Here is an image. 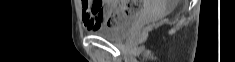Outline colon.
<instances>
[{
    "label": "colon",
    "mask_w": 235,
    "mask_h": 62,
    "mask_svg": "<svg viewBox=\"0 0 235 62\" xmlns=\"http://www.w3.org/2000/svg\"><path fill=\"white\" fill-rule=\"evenodd\" d=\"M123 2H127V1H122L120 3H111L110 6V16L108 19V25H115L118 22H120V20L123 18L124 15L127 14V9L124 7ZM95 8L98 9H102L103 8V4L102 3H95ZM139 9V6L137 3H135V5L133 6V11H137ZM148 29V26H146L144 28V30Z\"/></svg>",
    "instance_id": "5ec220e1"
}]
</instances>
